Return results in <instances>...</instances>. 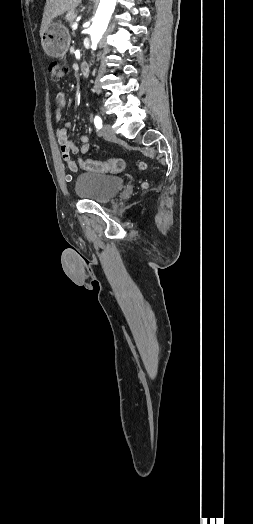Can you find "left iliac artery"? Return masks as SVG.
<instances>
[{
    "mask_svg": "<svg viewBox=\"0 0 253 524\" xmlns=\"http://www.w3.org/2000/svg\"><path fill=\"white\" fill-rule=\"evenodd\" d=\"M94 124H95V127L100 130L102 128V119L100 118V116H95L94 118Z\"/></svg>",
    "mask_w": 253,
    "mask_h": 524,
    "instance_id": "44dca946",
    "label": "left iliac artery"
}]
</instances>
